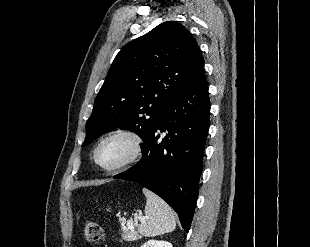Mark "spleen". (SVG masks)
I'll use <instances>...</instances> for the list:
<instances>
[{
	"label": "spleen",
	"mask_w": 310,
	"mask_h": 247,
	"mask_svg": "<svg viewBox=\"0 0 310 247\" xmlns=\"http://www.w3.org/2000/svg\"><path fill=\"white\" fill-rule=\"evenodd\" d=\"M146 196L145 216L139 232L145 237H154L172 232L176 227L175 213L170 206L153 192L143 189Z\"/></svg>",
	"instance_id": "1"
}]
</instances>
